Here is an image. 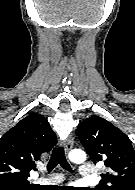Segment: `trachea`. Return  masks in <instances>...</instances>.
<instances>
[{
    "instance_id": "obj_1",
    "label": "trachea",
    "mask_w": 135,
    "mask_h": 190,
    "mask_svg": "<svg viewBox=\"0 0 135 190\" xmlns=\"http://www.w3.org/2000/svg\"><path fill=\"white\" fill-rule=\"evenodd\" d=\"M58 164H60L63 169L69 172L72 171L71 166L66 160L64 149L62 147H56L53 149L50 161L47 165L48 172H51Z\"/></svg>"
}]
</instances>
